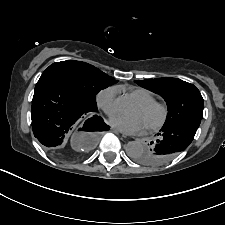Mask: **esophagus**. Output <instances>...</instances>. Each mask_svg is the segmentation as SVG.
Returning <instances> with one entry per match:
<instances>
[{"instance_id":"34e87169","label":"esophagus","mask_w":225,"mask_h":225,"mask_svg":"<svg viewBox=\"0 0 225 225\" xmlns=\"http://www.w3.org/2000/svg\"><path fill=\"white\" fill-rule=\"evenodd\" d=\"M112 131L114 132V133H116V134H119V135H121L122 137H126L124 134H122L119 130H117V129H112Z\"/></svg>"}]
</instances>
